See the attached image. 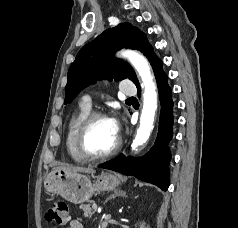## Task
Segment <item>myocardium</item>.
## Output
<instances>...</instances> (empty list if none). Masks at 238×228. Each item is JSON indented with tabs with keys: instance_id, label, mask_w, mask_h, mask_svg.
I'll use <instances>...</instances> for the list:
<instances>
[{
	"instance_id": "f54148a6",
	"label": "myocardium",
	"mask_w": 238,
	"mask_h": 228,
	"mask_svg": "<svg viewBox=\"0 0 238 228\" xmlns=\"http://www.w3.org/2000/svg\"><path fill=\"white\" fill-rule=\"evenodd\" d=\"M102 118H108V115L103 111H92L90 112L82 121L79 126L77 137H76V148L79 154L88 161H97V160H104L109 157L115 155L119 149L121 148L122 141L121 138L118 137L116 144L107 152L102 154H93L86 148V138L89 133V130L92 124Z\"/></svg>"
}]
</instances>
